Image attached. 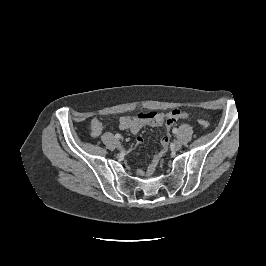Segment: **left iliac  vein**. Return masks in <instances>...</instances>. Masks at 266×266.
<instances>
[{
	"instance_id": "1",
	"label": "left iliac vein",
	"mask_w": 266,
	"mask_h": 266,
	"mask_svg": "<svg viewBox=\"0 0 266 266\" xmlns=\"http://www.w3.org/2000/svg\"><path fill=\"white\" fill-rule=\"evenodd\" d=\"M181 147H182L181 141L180 140H175L174 143H173V148L175 150H179V149H181Z\"/></svg>"
}]
</instances>
